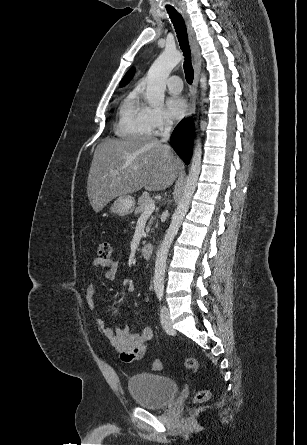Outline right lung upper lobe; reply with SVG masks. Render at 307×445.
<instances>
[{
	"label": "right lung upper lobe",
	"mask_w": 307,
	"mask_h": 445,
	"mask_svg": "<svg viewBox=\"0 0 307 445\" xmlns=\"http://www.w3.org/2000/svg\"><path fill=\"white\" fill-rule=\"evenodd\" d=\"M133 74H134V72H133V69H130L126 74H125V76L123 77V79L121 80V82H120V86H124V85H126L130 80H131V78L133 77Z\"/></svg>",
	"instance_id": "right-lung-upper-lobe-1"
}]
</instances>
